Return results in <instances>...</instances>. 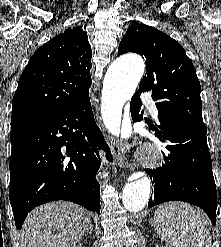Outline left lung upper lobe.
Listing matches in <instances>:
<instances>
[{"label":"left lung upper lobe","instance_id":"1","mask_svg":"<svg viewBox=\"0 0 221 247\" xmlns=\"http://www.w3.org/2000/svg\"><path fill=\"white\" fill-rule=\"evenodd\" d=\"M136 52L146 59V74L140 94L152 91L159 120L204 125L201 86L195 68L183 47L154 27L133 23L122 38L118 54Z\"/></svg>","mask_w":221,"mask_h":247}]
</instances>
